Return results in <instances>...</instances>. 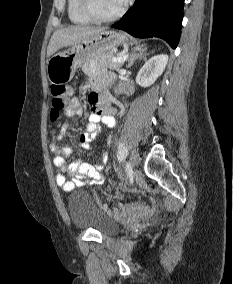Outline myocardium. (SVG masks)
I'll return each instance as SVG.
<instances>
[{
    "label": "myocardium",
    "mask_w": 233,
    "mask_h": 284,
    "mask_svg": "<svg viewBox=\"0 0 233 284\" xmlns=\"http://www.w3.org/2000/svg\"><path fill=\"white\" fill-rule=\"evenodd\" d=\"M82 8L85 14L95 22H100V23H107V22H112L117 19H119L126 11L127 8V3H123L122 7L114 14L112 15H102L100 14L94 5V0H82Z\"/></svg>",
    "instance_id": "1"
}]
</instances>
